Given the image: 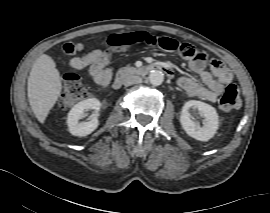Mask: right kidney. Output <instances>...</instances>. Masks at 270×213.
<instances>
[{
  "mask_svg": "<svg viewBox=\"0 0 270 213\" xmlns=\"http://www.w3.org/2000/svg\"><path fill=\"white\" fill-rule=\"evenodd\" d=\"M101 103L96 98H89L83 100L76 105L68 113L67 124L69 132L74 136H87L91 134L99 125L98 112L100 110ZM95 110V115L88 122H78L79 119L84 117L85 110Z\"/></svg>",
  "mask_w": 270,
  "mask_h": 213,
  "instance_id": "obj_1",
  "label": "right kidney"
}]
</instances>
